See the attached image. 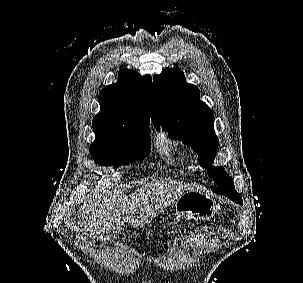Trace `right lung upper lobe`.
Listing matches in <instances>:
<instances>
[{"mask_svg":"<svg viewBox=\"0 0 303 283\" xmlns=\"http://www.w3.org/2000/svg\"><path fill=\"white\" fill-rule=\"evenodd\" d=\"M150 93L149 76L121 69L118 82L104 87L99 94L100 112L93 119V131L149 125Z\"/></svg>","mask_w":303,"mask_h":283,"instance_id":"1","label":"right lung upper lobe"}]
</instances>
